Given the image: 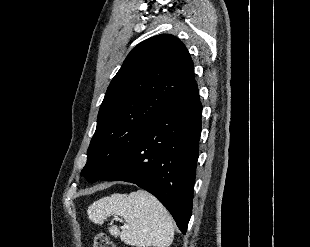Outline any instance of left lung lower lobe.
<instances>
[{"label": "left lung lower lobe", "instance_id": "0a47b994", "mask_svg": "<svg viewBox=\"0 0 310 247\" xmlns=\"http://www.w3.org/2000/svg\"><path fill=\"white\" fill-rule=\"evenodd\" d=\"M202 105L195 83L148 127L101 180L126 181L153 194L186 233L192 214Z\"/></svg>", "mask_w": 310, "mask_h": 247}]
</instances>
